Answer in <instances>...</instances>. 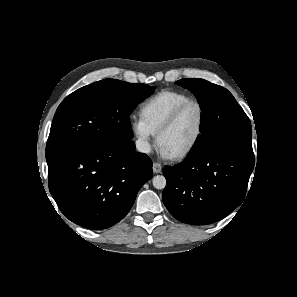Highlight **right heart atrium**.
Listing matches in <instances>:
<instances>
[{
  "label": "right heart atrium",
  "mask_w": 297,
  "mask_h": 297,
  "mask_svg": "<svg viewBox=\"0 0 297 297\" xmlns=\"http://www.w3.org/2000/svg\"><path fill=\"white\" fill-rule=\"evenodd\" d=\"M131 132L135 138L137 149L141 153H149L152 148L154 132L141 117L132 116L129 121Z\"/></svg>",
  "instance_id": "obj_1"
}]
</instances>
